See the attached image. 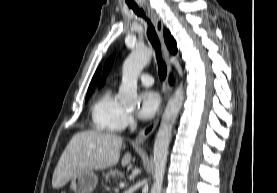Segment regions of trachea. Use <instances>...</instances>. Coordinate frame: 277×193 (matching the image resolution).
<instances>
[{"label": "trachea", "mask_w": 277, "mask_h": 193, "mask_svg": "<svg viewBox=\"0 0 277 193\" xmlns=\"http://www.w3.org/2000/svg\"><path fill=\"white\" fill-rule=\"evenodd\" d=\"M130 7L138 16L143 17L148 23L147 36L156 51V58L158 63V74L160 79L163 80L166 78V75H167V67L161 56L160 42L155 32V29L151 24V22L145 17L144 11L142 9H139L137 6H130Z\"/></svg>", "instance_id": "obj_1"}]
</instances>
